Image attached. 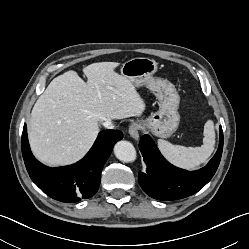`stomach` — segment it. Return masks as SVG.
Returning <instances> with one entry per match:
<instances>
[{
    "mask_svg": "<svg viewBox=\"0 0 249 249\" xmlns=\"http://www.w3.org/2000/svg\"><path fill=\"white\" fill-rule=\"evenodd\" d=\"M157 69L155 60L137 57L122 65L121 74L137 87L146 86L159 101V110L142 120V127L149 129L157 137L169 138L179 126L180 115L177 110L180 97L172 83L154 77Z\"/></svg>",
    "mask_w": 249,
    "mask_h": 249,
    "instance_id": "0dacf381",
    "label": "stomach"
}]
</instances>
